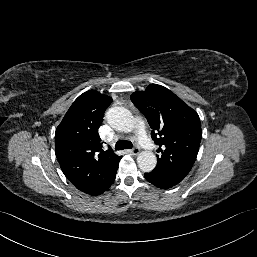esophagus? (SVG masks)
<instances>
[{
	"instance_id": "esophagus-1",
	"label": "esophagus",
	"mask_w": 257,
	"mask_h": 257,
	"mask_svg": "<svg viewBox=\"0 0 257 257\" xmlns=\"http://www.w3.org/2000/svg\"><path fill=\"white\" fill-rule=\"evenodd\" d=\"M130 152H131L132 155H138L140 153V148L135 147Z\"/></svg>"
}]
</instances>
